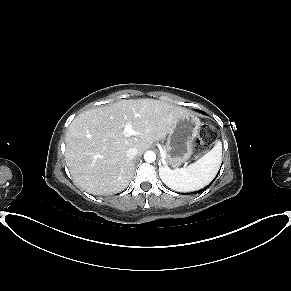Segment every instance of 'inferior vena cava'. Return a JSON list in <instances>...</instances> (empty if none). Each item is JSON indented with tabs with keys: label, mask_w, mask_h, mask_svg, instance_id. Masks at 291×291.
<instances>
[{
	"label": "inferior vena cava",
	"mask_w": 291,
	"mask_h": 291,
	"mask_svg": "<svg viewBox=\"0 0 291 291\" xmlns=\"http://www.w3.org/2000/svg\"><path fill=\"white\" fill-rule=\"evenodd\" d=\"M137 153H138L137 148H134V147L133 148H129L126 151V156H127L128 159L132 160L137 155Z\"/></svg>",
	"instance_id": "1"
}]
</instances>
